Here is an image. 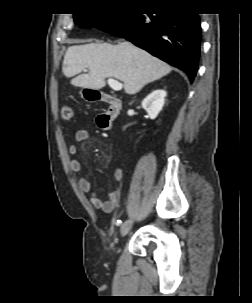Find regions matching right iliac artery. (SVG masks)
Masks as SVG:
<instances>
[{"mask_svg": "<svg viewBox=\"0 0 252 303\" xmlns=\"http://www.w3.org/2000/svg\"><path fill=\"white\" fill-rule=\"evenodd\" d=\"M120 223H121V221H120V220H117L116 224H120Z\"/></svg>", "mask_w": 252, "mask_h": 303, "instance_id": "1", "label": "right iliac artery"}]
</instances>
